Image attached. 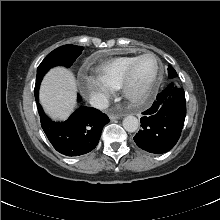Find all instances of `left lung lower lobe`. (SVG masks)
Masks as SVG:
<instances>
[{"label": "left lung lower lobe", "instance_id": "obj_1", "mask_svg": "<svg viewBox=\"0 0 220 220\" xmlns=\"http://www.w3.org/2000/svg\"><path fill=\"white\" fill-rule=\"evenodd\" d=\"M143 115L142 129L134 137L137 146L155 154L168 152L177 143L184 125V90L171 83Z\"/></svg>", "mask_w": 220, "mask_h": 220}]
</instances>
